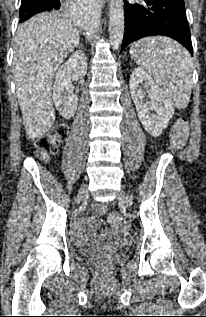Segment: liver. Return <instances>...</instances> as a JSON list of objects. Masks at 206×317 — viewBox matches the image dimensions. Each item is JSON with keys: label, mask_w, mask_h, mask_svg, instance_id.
<instances>
[{"label": "liver", "mask_w": 206, "mask_h": 317, "mask_svg": "<svg viewBox=\"0 0 206 317\" xmlns=\"http://www.w3.org/2000/svg\"><path fill=\"white\" fill-rule=\"evenodd\" d=\"M79 40V31L67 14L37 15L18 28L13 73L29 139H39L51 129L55 120L53 77Z\"/></svg>", "instance_id": "liver-1"}]
</instances>
